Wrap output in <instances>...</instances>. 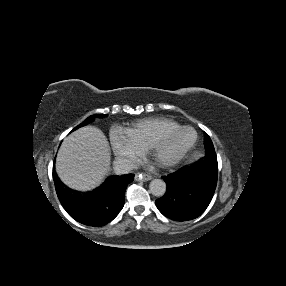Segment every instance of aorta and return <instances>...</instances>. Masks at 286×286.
I'll return each instance as SVG.
<instances>
[{"label":"aorta","instance_id":"1","mask_svg":"<svg viewBox=\"0 0 286 286\" xmlns=\"http://www.w3.org/2000/svg\"><path fill=\"white\" fill-rule=\"evenodd\" d=\"M150 192L156 197H162L166 192V183L161 179H154L149 185Z\"/></svg>","mask_w":286,"mask_h":286}]
</instances>
